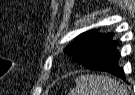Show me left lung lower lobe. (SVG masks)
Returning <instances> with one entry per match:
<instances>
[{"label": "left lung lower lobe", "instance_id": "0a47b994", "mask_svg": "<svg viewBox=\"0 0 135 95\" xmlns=\"http://www.w3.org/2000/svg\"><path fill=\"white\" fill-rule=\"evenodd\" d=\"M112 38L113 35L102 41L92 51L83 66L91 70L105 71L126 80L123 68L118 66L120 54L116 49L117 42L112 41Z\"/></svg>", "mask_w": 135, "mask_h": 95}]
</instances>
